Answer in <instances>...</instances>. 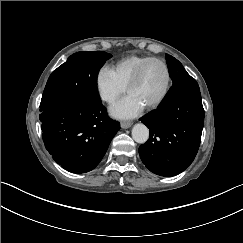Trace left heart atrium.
I'll use <instances>...</instances> for the list:
<instances>
[{
	"label": "left heart atrium",
	"mask_w": 243,
	"mask_h": 243,
	"mask_svg": "<svg viewBox=\"0 0 243 243\" xmlns=\"http://www.w3.org/2000/svg\"><path fill=\"white\" fill-rule=\"evenodd\" d=\"M145 105L134 95H128L109 107V112L116 118H133L139 115Z\"/></svg>",
	"instance_id": "39dd6f15"
}]
</instances>
